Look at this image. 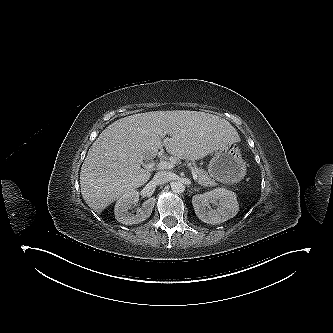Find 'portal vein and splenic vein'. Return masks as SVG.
Returning <instances> with one entry per match:
<instances>
[{
  "label": "portal vein and splenic vein",
  "mask_w": 333,
  "mask_h": 333,
  "mask_svg": "<svg viewBox=\"0 0 333 333\" xmlns=\"http://www.w3.org/2000/svg\"><path fill=\"white\" fill-rule=\"evenodd\" d=\"M173 167V163L167 162V161H161L157 164V168L159 169H171ZM192 172V176L195 182H198V176L196 174V171L193 167L190 168Z\"/></svg>",
  "instance_id": "portal-vein-and-splenic-vein-1"
}]
</instances>
